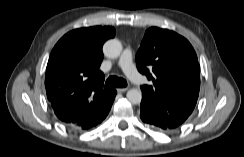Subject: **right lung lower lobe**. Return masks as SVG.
I'll return each instance as SVG.
<instances>
[{"instance_id": "right-lung-lower-lobe-1", "label": "right lung lower lobe", "mask_w": 244, "mask_h": 157, "mask_svg": "<svg viewBox=\"0 0 244 157\" xmlns=\"http://www.w3.org/2000/svg\"><path fill=\"white\" fill-rule=\"evenodd\" d=\"M115 95H116V93H115ZM114 98H115V96H114ZM114 100V99H113ZM112 106V105H111ZM111 106L108 108V109H106L100 116H99V119L97 120V122L93 125V126H96L97 124H99V123H101L105 118H106V116L108 115V113H109V111H110V109H111ZM69 127H71V128H74V129H79V128H77V127H74V126H70V125H68ZM92 126V127H93Z\"/></svg>"}]
</instances>
